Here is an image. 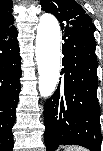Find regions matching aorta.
Listing matches in <instances>:
<instances>
[{
    "instance_id": "1",
    "label": "aorta",
    "mask_w": 103,
    "mask_h": 151,
    "mask_svg": "<svg viewBox=\"0 0 103 151\" xmlns=\"http://www.w3.org/2000/svg\"><path fill=\"white\" fill-rule=\"evenodd\" d=\"M35 56L40 95L50 97L58 83L60 70V26L51 14H43L37 26Z\"/></svg>"
}]
</instances>
